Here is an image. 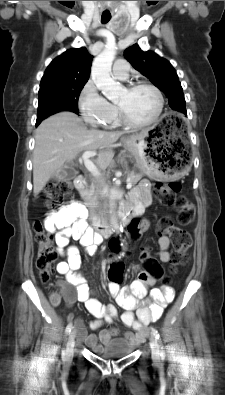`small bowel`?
<instances>
[{
  "label": "small bowel",
  "instance_id": "obj_1",
  "mask_svg": "<svg viewBox=\"0 0 225 395\" xmlns=\"http://www.w3.org/2000/svg\"><path fill=\"white\" fill-rule=\"evenodd\" d=\"M151 203L150 184L148 181H141L131 192L129 202L123 208H130L135 215H139L142 210ZM87 211L78 202H72L57 212L48 214L44 220L47 231L54 233L58 252L65 257L64 261L57 264V272L65 276L69 285L76 288V293L65 296L66 302L70 305L75 300L84 303L87 311L95 317L91 322L92 329H98L102 322H112L117 317V311L113 306H104L97 299L91 296V290L87 284L85 276L78 272L81 267V259L78 249L70 244V239L78 240L85 248L87 253L93 255L101 242V237L93 232L86 223ZM141 231H146L150 222L142 220L140 223ZM159 254L161 263L170 261V239L163 235L158 239ZM154 275H148L147 270H141L138 278L129 286L121 288H110V295L116 300L117 304L125 312L120 315L121 322L132 327L134 332H126L125 339L133 345H139L144 341L148 334L147 325L157 320L164 307L172 302L174 291L171 287H153L156 283ZM151 287V289H148ZM148 296L151 303L144 305L140 299ZM134 312H136V317ZM73 318L69 316V320ZM77 338L79 342L89 347H96L99 341L106 344L112 337L118 335L115 328L101 330L98 335L88 334L84 328L82 319L75 322Z\"/></svg>",
  "mask_w": 225,
  "mask_h": 395
}]
</instances>
